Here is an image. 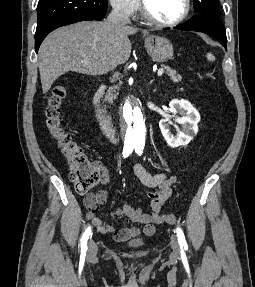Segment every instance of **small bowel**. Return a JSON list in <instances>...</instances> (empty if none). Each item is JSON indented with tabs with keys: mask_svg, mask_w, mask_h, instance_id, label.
Wrapping results in <instances>:
<instances>
[{
	"mask_svg": "<svg viewBox=\"0 0 255 287\" xmlns=\"http://www.w3.org/2000/svg\"><path fill=\"white\" fill-rule=\"evenodd\" d=\"M134 174L142 185L153 189L146 194L151 212L145 213L142 209L125 205L122 209H115L113 215L118 220H128L132 223L141 224L142 228H117L106 221L96 217L100 205L108 200L106 191L99 190L96 193H90L84 198L86 217L95 229L102 234H112L115 239L124 241L140 233L152 235L155 226L162 223L161 210L164 203L172 194V185L176 181L175 176H169L164 172L150 173L141 164L134 166ZM103 183L108 181L106 174L103 175Z\"/></svg>",
	"mask_w": 255,
	"mask_h": 287,
	"instance_id": "1",
	"label": "small bowel"
}]
</instances>
